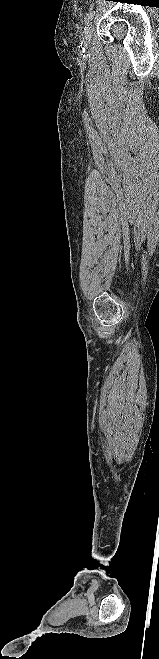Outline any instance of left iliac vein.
Instances as JSON below:
<instances>
[{"instance_id": "obj_1", "label": "left iliac vein", "mask_w": 159, "mask_h": 659, "mask_svg": "<svg viewBox=\"0 0 159 659\" xmlns=\"http://www.w3.org/2000/svg\"><path fill=\"white\" fill-rule=\"evenodd\" d=\"M94 30V25L92 22H88L83 30L82 41L84 44H89L91 40V35Z\"/></svg>"}]
</instances>
